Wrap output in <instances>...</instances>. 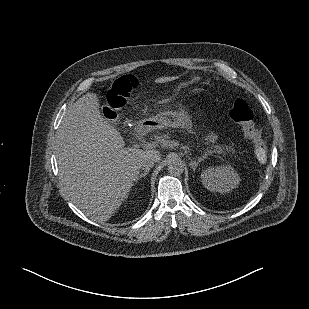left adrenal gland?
<instances>
[{
	"label": "left adrenal gland",
	"mask_w": 309,
	"mask_h": 309,
	"mask_svg": "<svg viewBox=\"0 0 309 309\" xmlns=\"http://www.w3.org/2000/svg\"><path fill=\"white\" fill-rule=\"evenodd\" d=\"M203 158H205L204 156L203 157H200L198 158V160L196 161H190V166L193 168V170L195 171L196 168L198 167L199 163L203 160Z\"/></svg>",
	"instance_id": "obj_1"
}]
</instances>
